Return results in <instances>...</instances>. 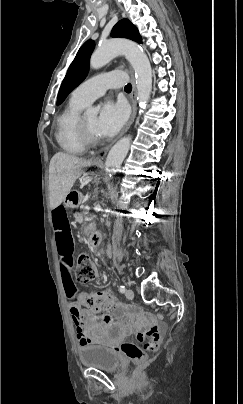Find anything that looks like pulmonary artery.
Wrapping results in <instances>:
<instances>
[{
    "mask_svg": "<svg viewBox=\"0 0 243 404\" xmlns=\"http://www.w3.org/2000/svg\"><path fill=\"white\" fill-rule=\"evenodd\" d=\"M123 83V80L111 72L99 73L82 82L77 91L79 97L88 105L101 97L108 88L120 87Z\"/></svg>",
    "mask_w": 243,
    "mask_h": 404,
    "instance_id": "e3ab8cb5",
    "label": "pulmonary artery"
}]
</instances>
